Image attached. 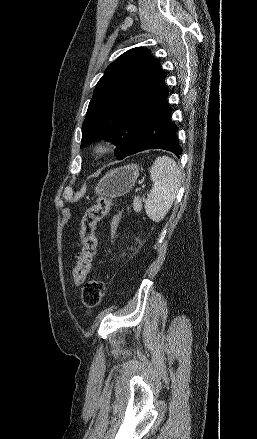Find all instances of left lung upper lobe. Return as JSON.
Returning <instances> with one entry per match:
<instances>
[{"label": "left lung upper lobe", "mask_w": 257, "mask_h": 439, "mask_svg": "<svg viewBox=\"0 0 257 439\" xmlns=\"http://www.w3.org/2000/svg\"><path fill=\"white\" fill-rule=\"evenodd\" d=\"M165 73L151 51L137 47L112 62L97 83L82 126L81 147L99 139L117 144L124 159L134 147L140 127L168 91Z\"/></svg>", "instance_id": "obj_1"}]
</instances>
